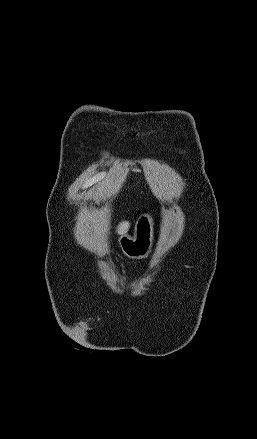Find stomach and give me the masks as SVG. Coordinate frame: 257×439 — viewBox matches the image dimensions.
I'll return each mask as SVG.
<instances>
[{"label":"stomach","mask_w":257,"mask_h":439,"mask_svg":"<svg viewBox=\"0 0 257 439\" xmlns=\"http://www.w3.org/2000/svg\"><path fill=\"white\" fill-rule=\"evenodd\" d=\"M153 245V220L149 214H143L136 222L134 236L124 234L119 239L123 254L131 259L145 258Z\"/></svg>","instance_id":"0dacf381"}]
</instances>
